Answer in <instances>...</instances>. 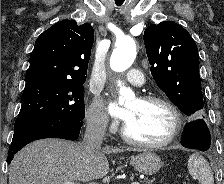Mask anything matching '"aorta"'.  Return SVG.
Here are the masks:
<instances>
[{"instance_id": "aorta-1", "label": "aorta", "mask_w": 224, "mask_h": 184, "mask_svg": "<svg viewBox=\"0 0 224 184\" xmlns=\"http://www.w3.org/2000/svg\"><path fill=\"white\" fill-rule=\"evenodd\" d=\"M136 57V43L130 37H124L116 42V47L112 52L110 58V67L115 72H123L127 70ZM120 87L119 103L123 104L125 99L133 97L134 94L130 88L122 86L121 82H118Z\"/></svg>"}]
</instances>
